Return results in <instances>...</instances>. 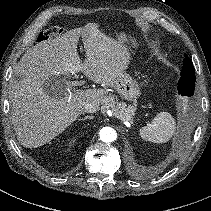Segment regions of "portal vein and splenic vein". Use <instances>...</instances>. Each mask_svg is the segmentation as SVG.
<instances>
[{
  "label": "portal vein and splenic vein",
  "mask_w": 211,
  "mask_h": 211,
  "mask_svg": "<svg viewBox=\"0 0 211 211\" xmlns=\"http://www.w3.org/2000/svg\"><path fill=\"white\" fill-rule=\"evenodd\" d=\"M84 83H85L84 81L81 82V84H84ZM75 85H76V84H75ZM67 91H68V92H71L69 88H67ZM111 115H112V113H111Z\"/></svg>",
  "instance_id": "portal-vein-and-splenic-vein-1"
}]
</instances>
